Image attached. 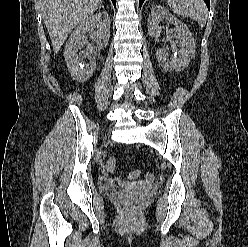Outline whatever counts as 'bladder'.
Masks as SVG:
<instances>
[{
    "label": "bladder",
    "instance_id": "bladder-1",
    "mask_svg": "<svg viewBox=\"0 0 248 247\" xmlns=\"http://www.w3.org/2000/svg\"><path fill=\"white\" fill-rule=\"evenodd\" d=\"M116 189H117V187H116L115 185L106 184V185L104 186V190H105L106 192H113V191H115Z\"/></svg>",
    "mask_w": 248,
    "mask_h": 247
}]
</instances>
